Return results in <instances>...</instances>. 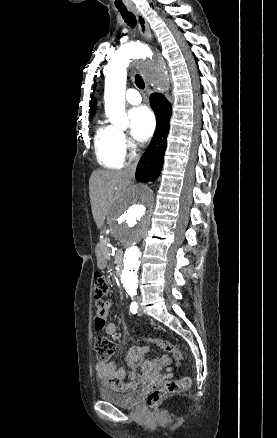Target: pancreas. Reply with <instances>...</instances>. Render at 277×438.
Here are the masks:
<instances>
[{
  "mask_svg": "<svg viewBox=\"0 0 277 438\" xmlns=\"http://www.w3.org/2000/svg\"><path fill=\"white\" fill-rule=\"evenodd\" d=\"M102 239H99L97 242V253H112L114 250V247L112 244H108L107 240L111 239V232L110 231H103L102 232Z\"/></svg>",
  "mask_w": 277,
  "mask_h": 438,
  "instance_id": "obj_1",
  "label": "pancreas"
}]
</instances>
